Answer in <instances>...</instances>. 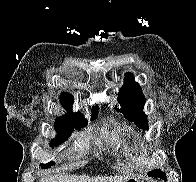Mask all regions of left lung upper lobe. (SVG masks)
<instances>
[{"instance_id":"obj_1","label":"left lung upper lobe","mask_w":196,"mask_h":182,"mask_svg":"<svg viewBox=\"0 0 196 182\" xmlns=\"http://www.w3.org/2000/svg\"><path fill=\"white\" fill-rule=\"evenodd\" d=\"M124 83V86H122L118 93V101L121 105L120 111L129 121H133L137 127L147 130V118L142 111L145 105V97L142 89L140 85L134 81V77L131 73L126 74ZM115 108L117 111L119 110L117 106H115ZM150 175L166 180V174L158 169L151 171Z\"/></svg>"}]
</instances>
